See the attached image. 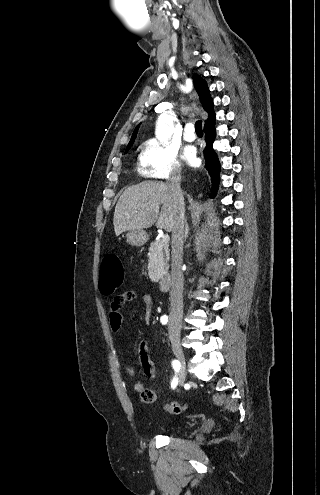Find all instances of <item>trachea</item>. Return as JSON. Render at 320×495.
Instances as JSON below:
<instances>
[{
  "label": "trachea",
  "instance_id": "3493384b",
  "mask_svg": "<svg viewBox=\"0 0 320 495\" xmlns=\"http://www.w3.org/2000/svg\"><path fill=\"white\" fill-rule=\"evenodd\" d=\"M195 130H196V134L198 135H202L203 134V130H202V122L200 120H198L196 123H195Z\"/></svg>",
  "mask_w": 320,
  "mask_h": 495
}]
</instances>
